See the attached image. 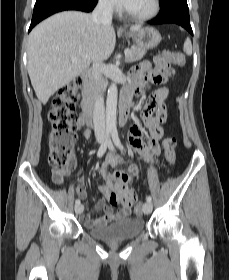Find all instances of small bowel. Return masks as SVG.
<instances>
[{
	"instance_id": "1",
	"label": "small bowel",
	"mask_w": 229,
	"mask_h": 280,
	"mask_svg": "<svg viewBox=\"0 0 229 280\" xmlns=\"http://www.w3.org/2000/svg\"><path fill=\"white\" fill-rule=\"evenodd\" d=\"M154 82L150 72V66L147 62L140 63L136 66L132 74V82L125 86L123 91L134 94H141L146 85ZM169 95V90L166 87L159 88L152 92L147 105L142 113L143 120L151 125L149 133H145L142 122L136 120L129 131V140L134 149L146 160H150L151 154L156 153L158 149V140L161 137L160 122L166 117V107L164 101ZM155 112V117L153 116ZM84 136L90 139V132L85 131ZM123 158L118 154H109L102 165L99 172L105 184L98 187L99 192L107 200L111 195H116L115 203L106 204L98 203L94 210L104 212V215L98 218H93L89 213L82 216V221L85 226L106 225L118 218L127 217L130 215L133 205V196L135 193L127 184L132 181L133 177L137 176L139 169L130 165L125 170H120L112 174L109 171L110 167L121 166ZM75 161L72 160L69 164L68 171L74 169ZM89 182L84 178L79 177V185L77 187V195L81 199L87 198V186ZM120 205L116 211L114 206Z\"/></svg>"
}]
</instances>
